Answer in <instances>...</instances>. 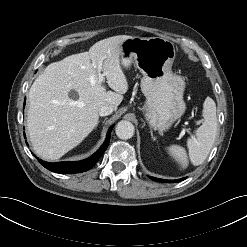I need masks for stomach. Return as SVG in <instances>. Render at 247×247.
<instances>
[{"mask_svg": "<svg viewBox=\"0 0 247 247\" xmlns=\"http://www.w3.org/2000/svg\"><path fill=\"white\" fill-rule=\"evenodd\" d=\"M175 55L174 43L160 37H130L121 45L122 65L135 63L143 75L145 118L159 132L168 130L186 110L185 81L172 71Z\"/></svg>", "mask_w": 247, "mask_h": 247, "instance_id": "0dacf381", "label": "stomach"}]
</instances>
